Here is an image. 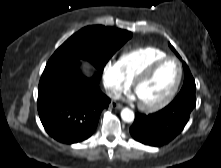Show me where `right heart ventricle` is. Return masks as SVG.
I'll use <instances>...</instances> for the list:
<instances>
[{
	"label": "right heart ventricle",
	"mask_w": 221,
	"mask_h": 168,
	"mask_svg": "<svg viewBox=\"0 0 221 168\" xmlns=\"http://www.w3.org/2000/svg\"><path fill=\"white\" fill-rule=\"evenodd\" d=\"M167 54L155 47H142L123 53L118 64L125 78L131 82L152 62L166 57Z\"/></svg>",
	"instance_id": "right-heart-ventricle-1"
}]
</instances>
